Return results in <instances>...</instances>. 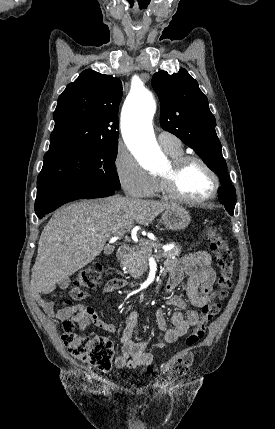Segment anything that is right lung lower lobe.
Segmentation results:
<instances>
[{"mask_svg": "<svg viewBox=\"0 0 275 429\" xmlns=\"http://www.w3.org/2000/svg\"><path fill=\"white\" fill-rule=\"evenodd\" d=\"M114 192L115 189L92 184L65 186L38 196L35 202V213L42 218L67 202L83 198L107 197L113 195Z\"/></svg>", "mask_w": 275, "mask_h": 429, "instance_id": "98d812e1", "label": "right lung lower lobe"}]
</instances>
